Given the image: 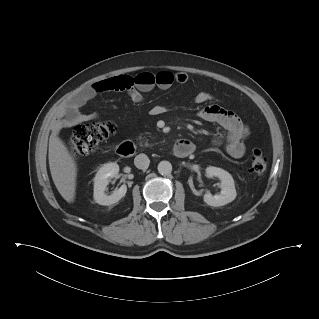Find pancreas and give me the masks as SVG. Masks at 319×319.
<instances>
[{
	"mask_svg": "<svg viewBox=\"0 0 319 319\" xmlns=\"http://www.w3.org/2000/svg\"><path fill=\"white\" fill-rule=\"evenodd\" d=\"M145 146H150V144L148 142L145 143Z\"/></svg>",
	"mask_w": 319,
	"mask_h": 319,
	"instance_id": "1",
	"label": "pancreas"
}]
</instances>
